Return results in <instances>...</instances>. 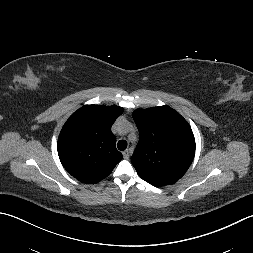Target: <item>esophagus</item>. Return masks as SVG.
<instances>
[{
    "label": "esophagus",
    "mask_w": 253,
    "mask_h": 253,
    "mask_svg": "<svg viewBox=\"0 0 253 253\" xmlns=\"http://www.w3.org/2000/svg\"><path fill=\"white\" fill-rule=\"evenodd\" d=\"M130 154H131V150L127 149L123 152V157L124 159H129L130 157Z\"/></svg>",
    "instance_id": "obj_1"
}]
</instances>
